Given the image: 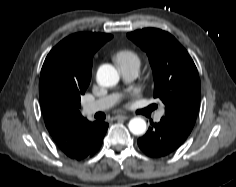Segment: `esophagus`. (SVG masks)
<instances>
[{
  "mask_svg": "<svg viewBox=\"0 0 236 187\" xmlns=\"http://www.w3.org/2000/svg\"><path fill=\"white\" fill-rule=\"evenodd\" d=\"M115 119L116 120H119V119L126 120V119H128V116L127 115H116Z\"/></svg>",
  "mask_w": 236,
  "mask_h": 187,
  "instance_id": "1",
  "label": "esophagus"
}]
</instances>
